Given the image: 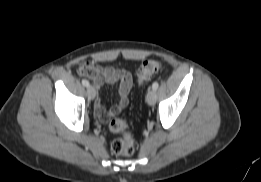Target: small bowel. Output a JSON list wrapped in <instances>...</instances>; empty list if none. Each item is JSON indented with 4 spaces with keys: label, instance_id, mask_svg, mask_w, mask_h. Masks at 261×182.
I'll return each mask as SVG.
<instances>
[{
    "label": "small bowel",
    "instance_id": "c3829d8e",
    "mask_svg": "<svg viewBox=\"0 0 261 182\" xmlns=\"http://www.w3.org/2000/svg\"><path fill=\"white\" fill-rule=\"evenodd\" d=\"M83 69L88 70V74L82 73ZM80 73L87 77L96 89H101L105 83L119 82V101L108 111L105 109L100 98L95 101L94 110L98 120L106 122L111 117L121 113L128 105L129 93L132 88V76L128 70L117 65L102 66L92 62L84 63L80 68Z\"/></svg>",
    "mask_w": 261,
    "mask_h": 182
}]
</instances>
